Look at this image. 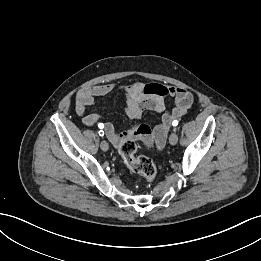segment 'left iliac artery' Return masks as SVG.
Segmentation results:
<instances>
[{
  "instance_id": "left-iliac-artery-1",
  "label": "left iliac artery",
  "mask_w": 261,
  "mask_h": 261,
  "mask_svg": "<svg viewBox=\"0 0 261 261\" xmlns=\"http://www.w3.org/2000/svg\"><path fill=\"white\" fill-rule=\"evenodd\" d=\"M173 126H177L178 125V121L177 120H174L173 123H172Z\"/></svg>"
}]
</instances>
